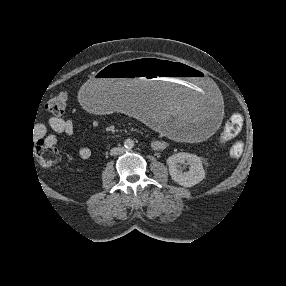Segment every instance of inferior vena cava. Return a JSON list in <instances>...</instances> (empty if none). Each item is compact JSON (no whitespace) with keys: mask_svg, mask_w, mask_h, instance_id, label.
Returning a JSON list of instances; mask_svg holds the SVG:
<instances>
[{"mask_svg":"<svg viewBox=\"0 0 286 286\" xmlns=\"http://www.w3.org/2000/svg\"><path fill=\"white\" fill-rule=\"evenodd\" d=\"M123 151H124V149H123L122 147H115V148H112V149L110 150V155H111V156L119 155V154H121Z\"/></svg>","mask_w":286,"mask_h":286,"instance_id":"602c4592","label":"inferior vena cava"}]
</instances>
